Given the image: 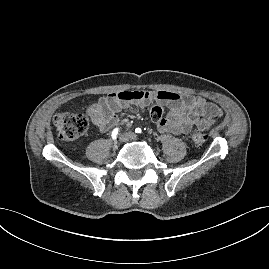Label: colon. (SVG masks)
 Wrapping results in <instances>:
<instances>
[{
	"instance_id": "1",
	"label": "colon",
	"mask_w": 269,
	"mask_h": 269,
	"mask_svg": "<svg viewBox=\"0 0 269 269\" xmlns=\"http://www.w3.org/2000/svg\"><path fill=\"white\" fill-rule=\"evenodd\" d=\"M151 118L160 117L164 114L162 105L154 101L150 106ZM56 129V135L63 141H74L81 137L88 129L89 122L87 118L77 112L63 111L57 113L53 118ZM192 143L196 147H201L207 140V136L201 129L195 127L191 133Z\"/></svg>"
}]
</instances>
